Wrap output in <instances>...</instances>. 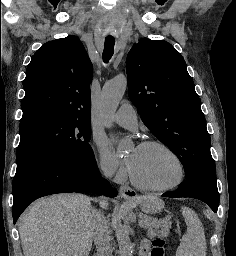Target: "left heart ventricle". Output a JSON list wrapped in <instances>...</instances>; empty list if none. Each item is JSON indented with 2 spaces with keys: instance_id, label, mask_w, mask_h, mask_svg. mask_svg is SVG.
<instances>
[{
  "instance_id": "1",
  "label": "left heart ventricle",
  "mask_w": 236,
  "mask_h": 256,
  "mask_svg": "<svg viewBox=\"0 0 236 256\" xmlns=\"http://www.w3.org/2000/svg\"><path fill=\"white\" fill-rule=\"evenodd\" d=\"M129 168L143 185L161 187L174 182L180 168L174 157L160 148H135L128 155Z\"/></svg>"
}]
</instances>
